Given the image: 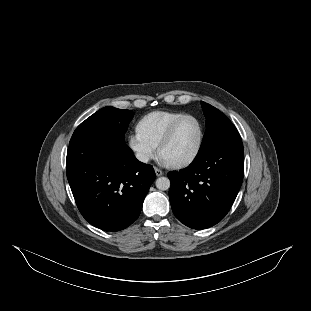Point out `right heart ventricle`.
I'll return each mask as SVG.
<instances>
[{"mask_svg":"<svg viewBox=\"0 0 311 311\" xmlns=\"http://www.w3.org/2000/svg\"><path fill=\"white\" fill-rule=\"evenodd\" d=\"M185 113L174 111H152L142 116L135 124L137 136L156 149L171 128Z\"/></svg>","mask_w":311,"mask_h":311,"instance_id":"right-heart-ventricle-1","label":"right heart ventricle"}]
</instances>
